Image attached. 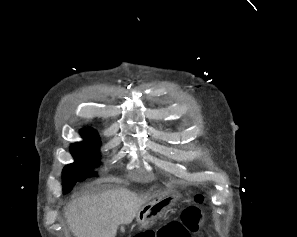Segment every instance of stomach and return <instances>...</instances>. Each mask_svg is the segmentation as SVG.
<instances>
[{
	"instance_id": "stomach-1",
	"label": "stomach",
	"mask_w": 297,
	"mask_h": 237,
	"mask_svg": "<svg viewBox=\"0 0 297 237\" xmlns=\"http://www.w3.org/2000/svg\"><path fill=\"white\" fill-rule=\"evenodd\" d=\"M177 199V196L169 195L143 207L137 215L139 229L146 230L152 226L157 219L165 214L168 208L176 203Z\"/></svg>"
}]
</instances>
